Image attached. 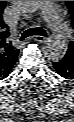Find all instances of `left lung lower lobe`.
Masks as SVG:
<instances>
[{"label": "left lung lower lobe", "mask_w": 74, "mask_h": 122, "mask_svg": "<svg viewBox=\"0 0 74 122\" xmlns=\"http://www.w3.org/2000/svg\"><path fill=\"white\" fill-rule=\"evenodd\" d=\"M52 63L60 76L66 79H74V52L68 50L61 60Z\"/></svg>", "instance_id": "left-lung-lower-lobe-1"}]
</instances>
